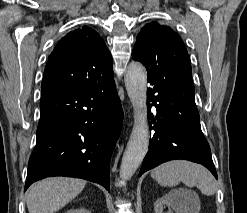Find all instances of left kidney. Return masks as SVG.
I'll return each mask as SVG.
<instances>
[{
	"instance_id": "left-kidney-1",
	"label": "left kidney",
	"mask_w": 247,
	"mask_h": 213,
	"mask_svg": "<svg viewBox=\"0 0 247 213\" xmlns=\"http://www.w3.org/2000/svg\"><path fill=\"white\" fill-rule=\"evenodd\" d=\"M165 206L171 207L176 213H199L197 196L189 190L169 192L154 203L155 213H163Z\"/></svg>"
}]
</instances>
